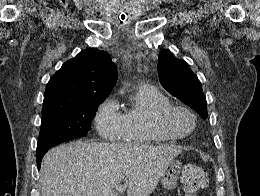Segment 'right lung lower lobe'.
<instances>
[{
	"label": "right lung lower lobe",
	"mask_w": 260,
	"mask_h": 196,
	"mask_svg": "<svg viewBox=\"0 0 260 196\" xmlns=\"http://www.w3.org/2000/svg\"><path fill=\"white\" fill-rule=\"evenodd\" d=\"M50 148H43V149H37V154H36V160H37V165L40 168L41 160L45 153L49 150Z\"/></svg>",
	"instance_id": "1"
}]
</instances>
